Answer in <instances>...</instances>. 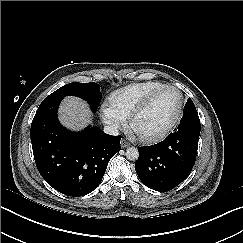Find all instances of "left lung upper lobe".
Segmentation results:
<instances>
[{"label": "left lung upper lobe", "mask_w": 243, "mask_h": 243, "mask_svg": "<svg viewBox=\"0 0 243 243\" xmlns=\"http://www.w3.org/2000/svg\"><path fill=\"white\" fill-rule=\"evenodd\" d=\"M189 114H197V110L195 108V105L190 98L188 99V101L185 105V109H184V115H189Z\"/></svg>", "instance_id": "left-lung-upper-lobe-1"}]
</instances>
